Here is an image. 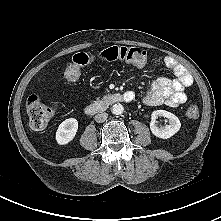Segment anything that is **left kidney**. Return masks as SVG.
Instances as JSON below:
<instances>
[{"instance_id": "5707ae66", "label": "left kidney", "mask_w": 221, "mask_h": 221, "mask_svg": "<svg viewBox=\"0 0 221 221\" xmlns=\"http://www.w3.org/2000/svg\"><path fill=\"white\" fill-rule=\"evenodd\" d=\"M161 116L166 117L169 120L168 125L163 127H158L156 125V119ZM180 127L181 123L178 117L171 112L166 110H156L151 114L150 129L151 132L158 138L168 139L176 134Z\"/></svg>"}]
</instances>
